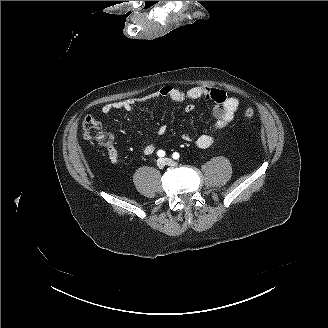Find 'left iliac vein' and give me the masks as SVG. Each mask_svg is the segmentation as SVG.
Returning a JSON list of instances; mask_svg holds the SVG:
<instances>
[{
	"label": "left iliac vein",
	"instance_id": "4c4485c4",
	"mask_svg": "<svg viewBox=\"0 0 328 328\" xmlns=\"http://www.w3.org/2000/svg\"><path fill=\"white\" fill-rule=\"evenodd\" d=\"M163 160H164L165 163H166L167 165H169V166H175V165H177V162L174 161V160H172V159L164 158Z\"/></svg>",
	"mask_w": 328,
	"mask_h": 328
}]
</instances>
